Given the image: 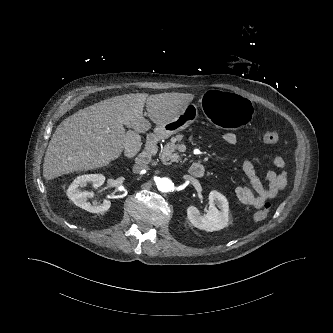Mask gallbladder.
<instances>
[{"label":"gallbladder","instance_id":"gallbladder-1","mask_svg":"<svg viewBox=\"0 0 333 333\" xmlns=\"http://www.w3.org/2000/svg\"><path fill=\"white\" fill-rule=\"evenodd\" d=\"M127 146H136L139 148L140 146V137L134 131H129L127 133Z\"/></svg>","mask_w":333,"mask_h":333}]
</instances>
